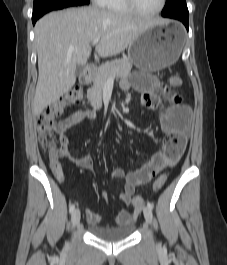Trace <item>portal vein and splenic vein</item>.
Here are the masks:
<instances>
[{
	"label": "portal vein and splenic vein",
	"instance_id": "portal-vein-and-splenic-vein-1",
	"mask_svg": "<svg viewBox=\"0 0 227 265\" xmlns=\"http://www.w3.org/2000/svg\"><path fill=\"white\" fill-rule=\"evenodd\" d=\"M99 41H100V38L97 37V38H95L92 42H93V44H97Z\"/></svg>",
	"mask_w": 227,
	"mask_h": 265
}]
</instances>
